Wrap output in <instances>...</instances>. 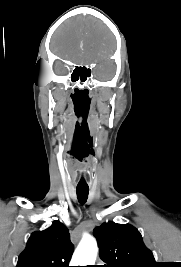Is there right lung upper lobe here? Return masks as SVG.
<instances>
[{"instance_id":"right-lung-upper-lobe-1","label":"right lung upper lobe","mask_w":181,"mask_h":267,"mask_svg":"<svg viewBox=\"0 0 181 267\" xmlns=\"http://www.w3.org/2000/svg\"><path fill=\"white\" fill-rule=\"evenodd\" d=\"M74 250L68 228L60 221L31 234L16 267H69Z\"/></svg>"}]
</instances>
